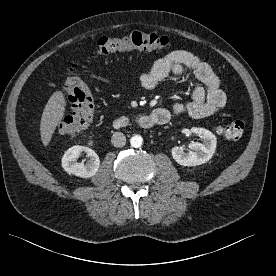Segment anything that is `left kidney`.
Instances as JSON below:
<instances>
[{
    "instance_id": "obj_1",
    "label": "left kidney",
    "mask_w": 276,
    "mask_h": 276,
    "mask_svg": "<svg viewBox=\"0 0 276 276\" xmlns=\"http://www.w3.org/2000/svg\"><path fill=\"white\" fill-rule=\"evenodd\" d=\"M188 133L199 136L203 142H191L189 152H185L182 147H173V159L182 166H196L209 161L216 149V136L209 130L199 127H192Z\"/></svg>"
}]
</instances>
